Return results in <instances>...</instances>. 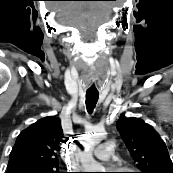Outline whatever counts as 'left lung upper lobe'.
<instances>
[{"mask_svg": "<svg viewBox=\"0 0 173 173\" xmlns=\"http://www.w3.org/2000/svg\"><path fill=\"white\" fill-rule=\"evenodd\" d=\"M119 131L140 173H173L166 144L154 128L139 118H120Z\"/></svg>", "mask_w": 173, "mask_h": 173, "instance_id": "left-lung-upper-lobe-1", "label": "left lung upper lobe"}]
</instances>
